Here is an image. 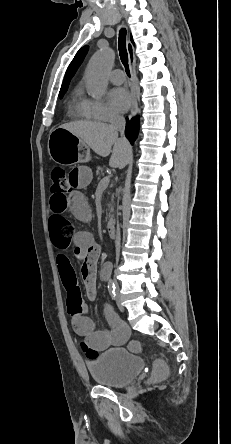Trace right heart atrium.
I'll return each mask as SVG.
<instances>
[{"instance_id": "right-heart-atrium-1", "label": "right heart atrium", "mask_w": 231, "mask_h": 444, "mask_svg": "<svg viewBox=\"0 0 231 444\" xmlns=\"http://www.w3.org/2000/svg\"><path fill=\"white\" fill-rule=\"evenodd\" d=\"M84 106L91 118L101 121L116 119L118 114L102 100L86 98Z\"/></svg>"}]
</instances>
